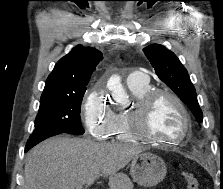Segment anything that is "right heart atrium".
I'll return each mask as SVG.
<instances>
[{"label": "right heart atrium", "instance_id": "right-heart-atrium-1", "mask_svg": "<svg viewBox=\"0 0 223 189\" xmlns=\"http://www.w3.org/2000/svg\"><path fill=\"white\" fill-rule=\"evenodd\" d=\"M81 112L90 135L98 139L109 137L114 112L109 105L107 95L100 87H94L89 91L82 103Z\"/></svg>", "mask_w": 223, "mask_h": 189}]
</instances>
